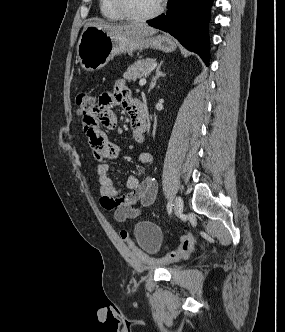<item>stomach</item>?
Masks as SVG:
<instances>
[{"instance_id": "1", "label": "stomach", "mask_w": 285, "mask_h": 332, "mask_svg": "<svg viewBox=\"0 0 285 332\" xmlns=\"http://www.w3.org/2000/svg\"><path fill=\"white\" fill-rule=\"evenodd\" d=\"M144 48L172 52L176 45L166 35L129 37L111 34L95 26L84 27L77 44V57L83 69L94 72L103 68L114 56Z\"/></svg>"}]
</instances>
